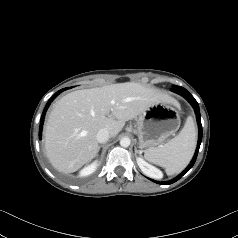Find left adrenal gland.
Instances as JSON below:
<instances>
[{
    "label": "left adrenal gland",
    "mask_w": 238,
    "mask_h": 238,
    "mask_svg": "<svg viewBox=\"0 0 238 238\" xmlns=\"http://www.w3.org/2000/svg\"><path fill=\"white\" fill-rule=\"evenodd\" d=\"M135 154H140V156H141V151L137 150V148H135Z\"/></svg>",
    "instance_id": "left-adrenal-gland-1"
}]
</instances>
